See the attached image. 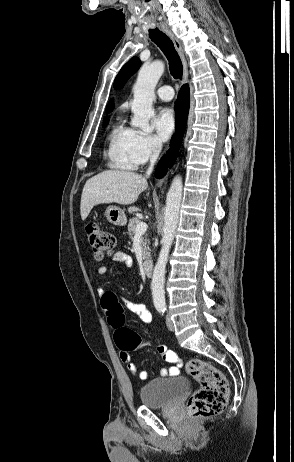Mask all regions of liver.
<instances>
[{
    "mask_svg": "<svg viewBox=\"0 0 294 462\" xmlns=\"http://www.w3.org/2000/svg\"><path fill=\"white\" fill-rule=\"evenodd\" d=\"M147 187L146 178L138 173L103 171L88 179L84 185L80 203L81 218L84 221L98 204H132Z\"/></svg>",
    "mask_w": 294,
    "mask_h": 462,
    "instance_id": "1",
    "label": "liver"
}]
</instances>
